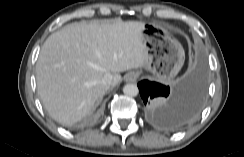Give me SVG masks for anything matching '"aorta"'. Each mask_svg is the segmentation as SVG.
<instances>
[{
  "mask_svg": "<svg viewBox=\"0 0 244 157\" xmlns=\"http://www.w3.org/2000/svg\"><path fill=\"white\" fill-rule=\"evenodd\" d=\"M123 92L127 96L134 97V96L138 95L139 89H138V87L135 84H126L123 87Z\"/></svg>",
  "mask_w": 244,
  "mask_h": 157,
  "instance_id": "1",
  "label": "aorta"
}]
</instances>
